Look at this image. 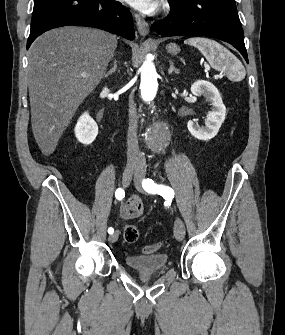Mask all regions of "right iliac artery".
Wrapping results in <instances>:
<instances>
[{"instance_id": "right-iliac-artery-1", "label": "right iliac artery", "mask_w": 285, "mask_h": 335, "mask_svg": "<svg viewBox=\"0 0 285 335\" xmlns=\"http://www.w3.org/2000/svg\"><path fill=\"white\" fill-rule=\"evenodd\" d=\"M115 197H116V199H118V200H122L124 197H125V192H124V190L122 189V188H118L117 190H116V192H115ZM114 232V229L112 228V227H110L109 229H108V233L109 234H112Z\"/></svg>"}]
</instances>
